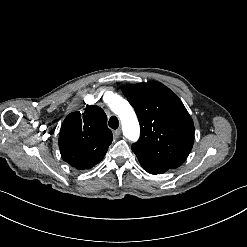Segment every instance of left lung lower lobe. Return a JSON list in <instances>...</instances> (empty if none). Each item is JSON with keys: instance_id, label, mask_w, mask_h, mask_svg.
<instances>
[{"instance_id": "obj_1", "label": "left lung lower lobe", "mask_w": 247, "mask_h": 247, "mask_svg": "<svg viewBox=\"0 0 247 247\" xmlns=\"http://www.w3.org/2000/svg\"><path fill=\"white\" fill-rule=\"evenodd\" d=\"M142 168L151 174H162L166 171H168L170 168L163 166L161 164H158L156 162H153L152 160L148 159L147 157L143 155L136 154Z\"/></svg>"}]
</instances>
